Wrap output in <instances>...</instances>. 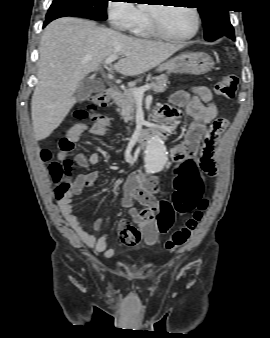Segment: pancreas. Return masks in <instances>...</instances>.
Listing matches in <instances>:
<instances>
[{
  "label": "pancreas",
  "mask_w": 270,
  "mask_h": 338,
  "mask_svg": "<svg viewBox=\"0 0 270 338\" xmlns=\"http://www.w3.org/2000/svg\"><path fill=\"white\" fill-rule=\"evenodd\" d=\"M168 83V77L166 75H160L154 78L150 86L155 93H161L166 90ZM136 102L137 99L132 93V89L125 90L121 95V99L117 102L120 108V114L126 123L134 119L133 115L136 109Z\"/></svg>",
  "instance_id": "obj_1"
}]
</instances>
